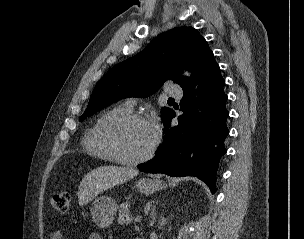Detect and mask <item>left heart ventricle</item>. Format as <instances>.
Wrapping results in <instances>:
<instances>
[{"instance_id":"obj_1","label":"left heart ventricle","mask_w":304,"mask_h":239,"mask_svg":"<svg viewBox=\"0 0 304 239\" xmlns=\"http://www.w3.org/2000/svg\"><path fill=\"white\" fill-rule=\"evenodd\" d=\"M154 135L148 122H132L123 126L117 133V146L122 156L135 158L150 148Z\"/></svg>"}]
</instances>
